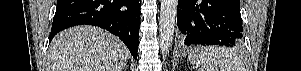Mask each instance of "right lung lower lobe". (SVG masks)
I'll return each mask as SVG.
<instances>
[{
  "label": "right lung lower lobe",
  "mask_w": 301,
  "mask_h": 71,
  "mask_svg": "<svg viewBox=\"0 0 301 71\" xmlns=\"http://www.w3.org/2000/svg\"><path fill=\"white\" fill-rule=\"evenodd\" d=\"M140 0H57L50 40L75 25H95L119 36L137 58Z\"/></svg>",
  "instance_id": "right-lung-lower-lobe-1"
}]
</instances>
